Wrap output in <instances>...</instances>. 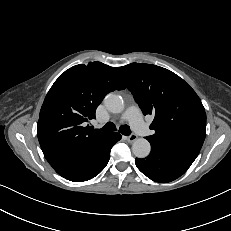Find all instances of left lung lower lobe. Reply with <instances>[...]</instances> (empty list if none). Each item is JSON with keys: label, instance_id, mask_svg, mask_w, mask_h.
Returning <instances> with one entry per match:
<instances>
[{"label": "left lung lower lobe", "instance_id": "1", "mask_svg": "<svg viewBox=\"0 0 231 231\" xmlns=\"http://www.w3.org/2000/svg\"><path fill=\"white\" fill-rule=\"evenodd\" d=\"M198 154V150L185 146L151 143L150 155L136 158L135 164L151 180L167 183L183 175Z\"/></svg>", "mask_w": 231, "mask_h": 231}]
</instances>
